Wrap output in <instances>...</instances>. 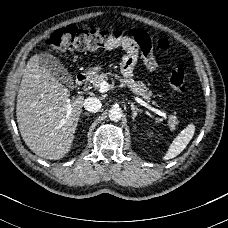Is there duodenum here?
<instances>
[{
	"mask_svg": "<svg viewBox=\"0 0 228 228\" xmlns=\"http://www.w3.org/2000/svg\"><path fill=\"white\" fill-rule=\"evenodd\" d=\"M87 80H88V74L83 73V72L77 73V75H76V77H75V79H74L75 84H76L77 86H82V85H84V84L87 82Z\"/></svg>",
	"mask_w": 228,
	"mask_h": 228,
	"instance_id": "obj_1",
	"label": "duodenum"
}]
</instances>
